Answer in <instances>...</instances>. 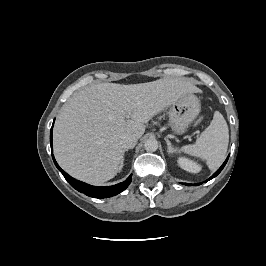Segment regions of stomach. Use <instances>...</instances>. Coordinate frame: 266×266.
I'll return each mask as SVG.
<instances>
[{"label": "stomach", "mask_w": 266, "mask_h": 266, "mask_svg": "<svg viewBox=\"0 0 266 266\" xmlns=\"http://www.w3.org/2000/svg\"><path fill=\"white\" fill-rule=\"evenodd\" d=\"M201 109L199 99L193 94L179 98L169 108V125L175 133H184L199 115Z\"/></svg>", "instance_id": "0dacf381"}]
</instances>
